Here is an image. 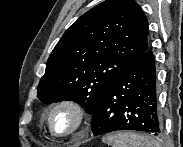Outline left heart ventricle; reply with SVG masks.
<instances>
[{
    "instance_id": "obj_1",
    "label": "left heart ventricle",
    "mask_w": 183,
    "mask_h": 147,
    "mask_svg": "<svg viewBox=\"0 0 183 147\" xmlns=\"http://www.w3.org/2000/svg\"><path fill=\"white\" fill-rule=\"evenodd\" d=\"M51 122L56 133L65 134L74 129L77 124V118L71 110L61 108L54 112Z\"/></svg>"
}]
</instances>
